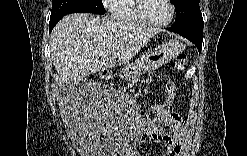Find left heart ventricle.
<instances>
[{"mask_svg": "<svg viewBox=\"0 0 247 156\" xmlns=\"http://www.w3.org/2000/svg\"><path fill=\"white\" fill-rule=\"evenodd\" d=\"M143 14L154 21H163L168 18L170 10L164 0L144 1L142 4Z\"/></svg>", "mask_w": 247, "mask_h": 156, "instance_id": "left-heart-ventricle-1", "label": "left heart ventricle"}]
</instances>
